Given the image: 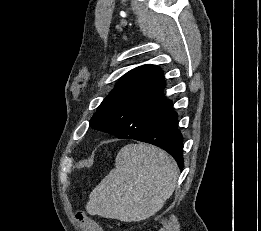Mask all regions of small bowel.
Wrapping results in <instances>:
<instances>
[{"mask_svg":"<svg viewBox=\"0 0 261 231\" xmlns=\"http://www.w3.org/2000/svg\"><path fill=\"white\" fill-rule=\"evenodd\" d=\"M83 231H103V229L95 221L89 220L88 225L83 228Z\"/></svg>","mask_w":261,"mask_h":231,"instance_id":"c3829d8e","label":"small bowel"}]
</instances>
